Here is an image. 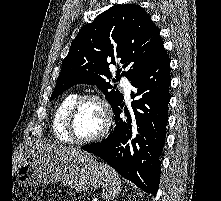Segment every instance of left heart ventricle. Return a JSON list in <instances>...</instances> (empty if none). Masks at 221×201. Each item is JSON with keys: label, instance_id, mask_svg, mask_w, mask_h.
Instances as JSON below:
<instances>
[{"label": "left heart ventricle", "instance_id": "b2bd125f", "mask_svg": "<svg viewBox=\"0 0 221 201\" xmlns=\"http://www.w3.org/2000/svg\"><path fill=\"white\" fill-rule=\"evenodd\" d=\"M104 126V112L100 104L90 100L78 110L73 130L76 137L87 139L97 135Z\"/></svg>", "mask_w": 221, "mask_h": 201}]
</instances>
